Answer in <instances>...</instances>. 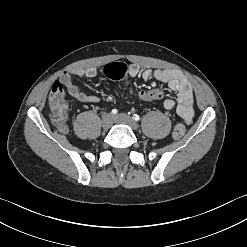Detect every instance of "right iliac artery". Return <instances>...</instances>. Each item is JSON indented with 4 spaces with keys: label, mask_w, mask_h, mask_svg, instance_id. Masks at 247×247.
I'll return each mask as SVG.
<instances>
[{
    "label": "right iliac artery",
    "mask_w": 247,
    "mask_h": 247,
    "mask_svg": "<svg viewBox=\"0 0 247 247\" xmlns=\"http://www.w3.org/2000/svg\"><path fill=\"white\" fill-rule=\"evenodd\" d=\"M117 112H118L117 109H113V110H112V114H114V115H116Z\"/></svg>",
    "instance_id": "obj_1"
}]
</instances>
